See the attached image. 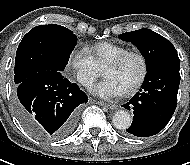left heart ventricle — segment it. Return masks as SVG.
<instances>
[{
  "label": "left heart ventricle",
  "instance_id": "1",
  "mask_svg": "<svg viewBox=\"0 0 190 165\" xmlns=\"http://www.w3.org/2000/svg\"><path fill=\"white\" fill-rule=\"evenodd\" d=\"M141 74V63L137 57H129L119 67H105V78L113 79L123 91L130 88L138 80Z\"/></svg>",
  "mask_w": 190,
  "mask_h": 165
}]
</instances>
